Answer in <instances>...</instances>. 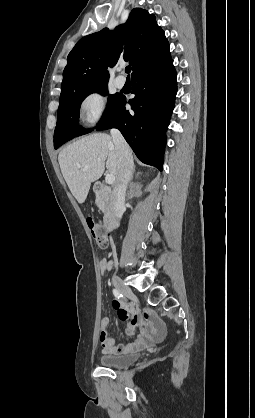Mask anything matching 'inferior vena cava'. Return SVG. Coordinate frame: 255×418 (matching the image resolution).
Wrapping results in <instances>:
<instances>
[{
    "label": "inferior vena cava",
    "instance_id": "inferior-vena-cava-1",
    "mask_svg": "<svg viewBox=\"0 0 255 418\" xmlns=\"http://www.w3.org/2000/svg\"><path fill=\"white\" fill-rule=\"evenodd\" d=\"M111 136L118 154V173L113 189L112 203L114 216L116 219H120L124 207L126 189L132 176L134 163L131 149L121 132L117 129H112Z\"/></svg>",
    "mask_w": 255,
    "mask_h": 418
}]
</instances>
